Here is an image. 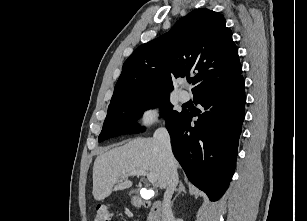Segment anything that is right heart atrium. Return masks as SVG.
Returning a JSON list of instances; mask_svg holds the SVG:
<instances>
[{
  "label": "right heart atrium",
  "instance_id": "right-heart-atrium-1",
  "mask_svg": "<svg viewBox=\"0 0 307 221\" xmlns=\"http://www.w3.org/2000/svg\"><path fill=\"white\" fill-rule=\"evenodd\" d=\"M158 107L150 105L145 107L140 114V122L143 126H150L154 124L158 118Z\"/></svg>",
  "mask_w": 307,
  "mask_h": 221
}]
</instances>
